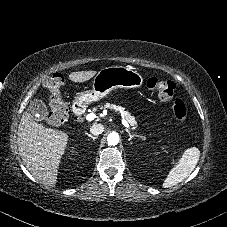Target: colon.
Returning <instances> with one entry per match:
<instances>
[{"label": "colon", "mask_w": 227, "mask_h": 227, "mask_svg": "<svg viewBox=\"0 0 227 227\" xmlns=\"http://www.w3.org/2000/svg\"><path fill=\"white\" fill-rule=\"evenodd\" d=\"M65 79L62 74L54 73L45 81V87L50 92V113L48 123L51 126H60L67 121L68 104L61 95ZM146 86L154 92L159 99L163 101H171V111L173 116L184 121L187 118V110L185 104L175 98L176 84L171 80H161L157 77H149L146 80Z\"/></svg>", "instance_id": "colon-1"}]
</instances>
